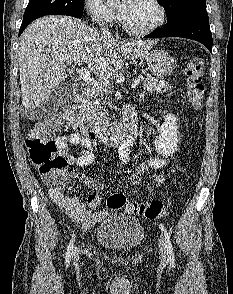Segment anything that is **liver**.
<instances>
[{"label": "liver", "mask_w": 233, "mask_h": 294, "mask_svg": "<svg viewBox=\"0 0 233 294\" xmlns=\"http://www.w3.org/2000/svg\"><path fill=\"white\" fill-rule=\"evenodd\" d=\"M157 41L117 42L81 20L66 16L37 19L23 32L19 74L25 111L39 107L65 78L67 65L86 64L98 79L118 73L125 59L144 56Z\"/></svg>", "instance_id": "1"}]
</instances>
